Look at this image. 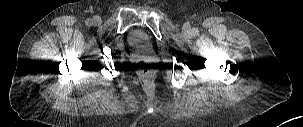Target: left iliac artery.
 Masks as SVG:
<instances>
[{
	"label": "left iliac artery",
	"mask_w": 303,
	"mask_h": 127,
	"mask_svg": "<svg viewBox=\"0 0 303 127\" xmlns=\"http://www.w3.org/2000/svg\"><path fill=\"white\" fill-rule=\"evenodd\" d=\"M192 32H193L194 35H197V34L199 33V31H198L197 28H194V29L192 30Z\"/></svg>",
	"instance_id": "44dca946"
}]
</instances>
